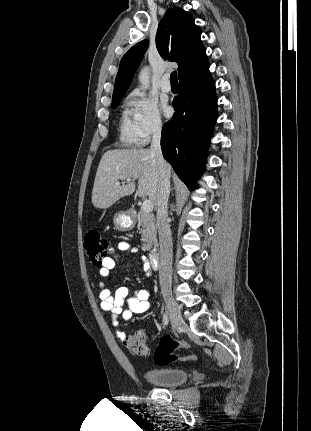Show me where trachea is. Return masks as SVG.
Here are the masks:
<instances>
[{"label":"trachea","mask_w":311,"mask_h":431,"mask_svg":"<svg viewBox=\"0 0 311 431\" xmlns=\"http://www.w3.org/2000/svg\"><path fill=\"white\" fill-rule=\"evenodd\" d=\"M170 83L178 84L177 72L176 71H174V72L171 73V75H170Z\"/></svg>","instance_id":"1"}]
</instances>
